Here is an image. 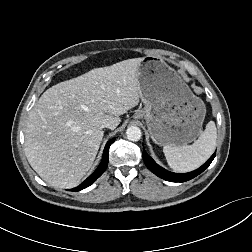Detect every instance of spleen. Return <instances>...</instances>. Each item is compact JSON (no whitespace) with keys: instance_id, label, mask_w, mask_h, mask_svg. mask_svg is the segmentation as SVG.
<instances>
[{"instance_id":"3e777b00","label":"spleen","mask_w":252,"mask_h":252,"mask_svg":"<svg viewBox=\"0 0 252 252\" xmlns=\"http://www.w3.org/2000/svg\"><path fill=\"white\" fill-rule=\"evenodd\" d=\"M216 139V126L213 121H210L192 145L164 146L163 152L169 167L178 172H188L198 168L214 153Z\"/></svg>"}]
</instances>
